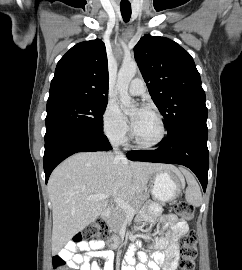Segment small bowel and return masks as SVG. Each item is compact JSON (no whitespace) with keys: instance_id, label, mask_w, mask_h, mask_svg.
Returning <instances> with one entry per match:
<instances>
[{"instance_id":"obj_1","label":"small bowel","mask_w":242,"mask_h":270,"mask_svg":"<svg viewBox=\"0 0 242 270\" xmlns=\"http://www.w3.org/2000/svg\"><path fill=\"white\" fill-rule=\"evenodd\" d=\"M160 216L164 234L156 238L151 244L155 249L148 255L140 251L137 253L139 263L136 262L133 252L125 255V263L122 270H175L179 260V239L188 231V224L185 220L179 219L174 214H161L157 204L149 206V212L140 217V221ZM104 242L100 240L74 243L69 242L60 250L59 254L66 260L67 265L77 270H113V254L109 250H103ZM95 258L105 260L100 266Z\"/></svg>"}]
</instances>
